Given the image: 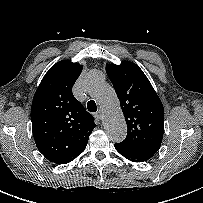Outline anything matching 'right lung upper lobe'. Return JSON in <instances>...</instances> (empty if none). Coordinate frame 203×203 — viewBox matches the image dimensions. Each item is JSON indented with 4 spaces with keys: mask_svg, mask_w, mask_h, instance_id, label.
Returning a JSON list of instances; mask_svg holds the SVG:
<instances>
[{
    "mask_svg": "<svg viewBox=\"0 0 203 203\" xmlns=\"http://www.w3.org/2000/svg\"><path fill=\"white\" fill-rule=\"evenodd\" d=\"M82 68L68 60L57 62L46 73L33 98L31 121L36 146L56 164L77 157L95 127L93 116L72 93Z\"/></svg>",
    "mask_w": 203,
    "mask_h": 203,
    "instance_id": "cb5924a9",
    "label": "right lung upper lobe"
}]
</instances>
